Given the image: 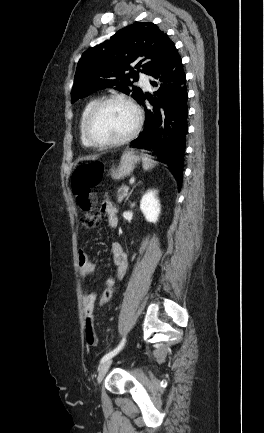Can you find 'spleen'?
<instances>
[{"mask_svg": "<svg viewBox=\"0 0 264 433\" xmlns=\"http://www.w3.org/2000/svg\"><path fill=\"white\" fill-rule=\"evenodd\" d=\"M141 159H142V164H143L144 170L147 171V170L153 168L154 162L151 160L149 155L144 154V155H142Z\"/></svg>", "mask_w": 264, "mask_h": 433, "instance_id": "obj_1", "label": "spleen"}]
</instances>
